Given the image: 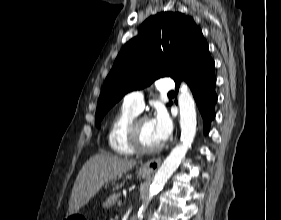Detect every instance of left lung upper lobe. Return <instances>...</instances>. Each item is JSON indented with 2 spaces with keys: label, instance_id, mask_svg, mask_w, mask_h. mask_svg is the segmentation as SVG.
<instances>
[{
  "label": "left lung upper lobe",
  "instance_id": "obj_1",
  "mask_svg": "<svg viewBox=\"0 0 281 220\" xmlns=\"http://www.w3.org/2000/svg\"><path fill=\"white\" fill-rule=\"evenodd\" d=\"M208 51L194 20L179 12H161L146 19L139 34L117 56L99 96L95 124L126 93L149 86L160 77L178 80L190 62Z\"/></svg>",
  "mask_w": 281,
  "mask_h": 220
}]
</instances>
